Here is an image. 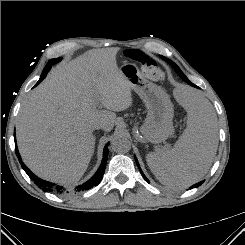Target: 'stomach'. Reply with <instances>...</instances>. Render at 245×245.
Listing matches in <instances>:
<instances>
[{"label":"stomach","instance_id":"1","mask_svg":"<svg viewBox=\"0 0 245 245\" xmlns=\"http://www.w3.org/2000/svg\"><path fill=\"white\" fill-rule=\"evenodd\" d=\"M119 70L147 107V116L141 126L144 138L155 144L165 141L174 132V107L169 95L145 79L135 64L125 63Z\"/></svg>","mask_w":245,"mask_h":245}]
</instances>
